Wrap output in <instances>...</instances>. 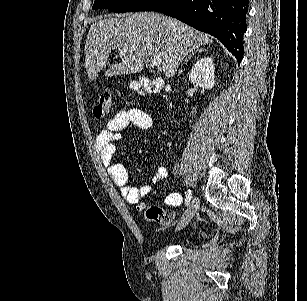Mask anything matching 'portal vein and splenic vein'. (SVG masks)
<instances>
[{
	"mask_svg": "<svg viewBox=\"0 0 307 301\" xmlns=\"http://www.w3.org/2000/svg\"><path fill=\"white\" fill-rule=\"evenodd\" d=\"M118 50H120V52H128V48H118ZM161 62L162 58L160 54H153V56H151V64H154V66H160Z\"/></svg>",
	"mask_w": 307,
	"mask_h": 301,
	"instance_id": "1",
	"label": "portal vein and splenic vein"
}]
</instances>
